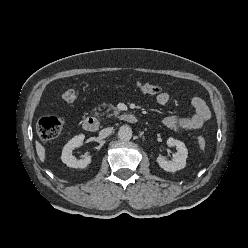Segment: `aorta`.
Listing matches in <instances>:
<instances>
[{"label": "aorta", "mask_w": 248, "mask_h": 248, "mask_svg": "<svg viewBox=\"0 0 248 248\" xmlns=\"http://www.w3.org/2000/svg\"><path fill=\"white\" fill-rule=\"evenodd\" d=\"M118 137L122 141L130 140L132 138V129L127 125L121 126L118 131Z\"/></svg>", "instance_id": "762f6f07"}]
</instances>
